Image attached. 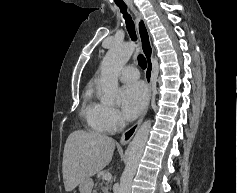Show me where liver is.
I'll return each mask as SVG.
<instances>
[{
  "mask_svg": "<svg viewBox=\"0 0 237 193\" xmlns=\"http://www.w3.org/2000/svg\"><path fill=\"white\" fill-rule=\"evenodd\" d=\"M115 140L98 132L76 130L64 147L62 173L66 192L107 166L113 156Z\"/></svg>",
  "mask_w": 237,
  "mask_h": 193,
  "instance_id": "1",
  "label": "liver"
}]
</instances>
